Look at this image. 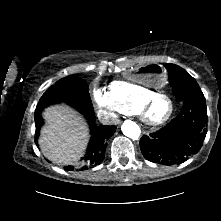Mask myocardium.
<instances>
[{
	"label": "myocardium",
	"instance_id": "myocardium-1",
	"mask_svg": "<svg viewBox=\"0 0 221 221\" xmlns=\"http://www.w3.org/2000/svg\"><path fill=\"white\" fill-rule=\"evenodd\" d=\"M160 98H164L169 101L170 111L168 112V114L165 117L158 119V120H152L148 116V110L151 107V105L157 99H160ZM174 111H175V104H174L173 99L169 95L164 94V93H154L153 95H151L147 99L143 100L137 108V113L140 114L142 121L149 126H158V125H162V124L166 123L172 117V115L174 114Z\"/></svg>",
	"mask_w": 221,
	"mask_h": 221
}]
</instances>
